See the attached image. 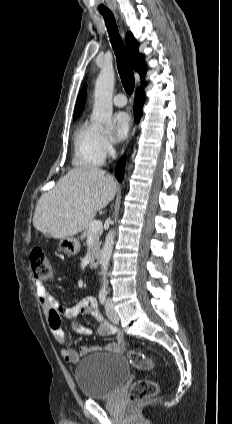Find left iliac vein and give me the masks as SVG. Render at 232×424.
Returning <instances> with one entry per match:
<instances>
[{
    "label": "left iliac vein",
    "instance_id": "1",
    "mask_svg": "<svg viewBox=\"0 0 232 424\" xmlns=\"http://www.w3.org/2000/svg\"><path fill=\"white\" fill-rule=\"evenodd\" d=\"M106 314H107L108 319L111 322H113V323L119 322V316H118L117 312L115 311L110 300H107V302H106Z\"/></svg>",
    "mask_w": 232,
    "mask_h": 424
}]
</instances>
